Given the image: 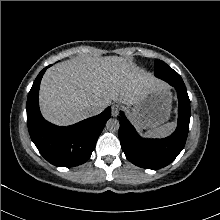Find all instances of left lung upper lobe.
Masks as SVG:
<instances>
[{
	"label": "left lung upper lobe",
	"instance_id": "left-lung-upper-lobe-1",
	"mask_svg": "<svg viewBox=\"0 0 220 220\" xmlns=\"http://www.w3.org/2000/svg\"><path fill=\"white\" fill-rule=\"evenodd\" d=\"M168 68H169V66L165 62H163L161 60H156L155 64H154L155 76L158 78H161V75L165 74L166 69H168Z\"/></svg>",
	"mask_w": 220,
	"mask_h": 220
}]
</instances>
